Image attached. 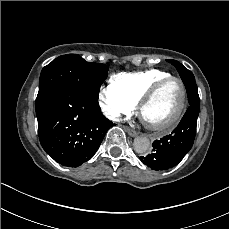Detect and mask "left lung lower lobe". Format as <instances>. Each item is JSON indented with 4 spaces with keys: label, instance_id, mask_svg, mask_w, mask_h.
<instances>
[{
    "label": "left lung lower lobe",
    "instance_id": "left-lung-lower-lobe-1",
    "mask_svg": "<svg viewBox=\"0 0 229 229\" xmlns=\"http://www.w3.org/2000/svg\"><path fill=\"white\" fill-rule=\"evenodd\" d=\"M189 107L174 131L153 142V152L140 160L153 170H167L176 166L193 146L200 100L195 78L183 81Z\"/></svg>",
    "mask_w": 229,
    "mask_h": 229
}]
</instances>
